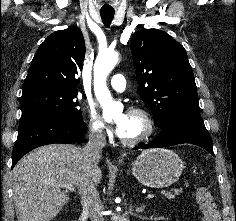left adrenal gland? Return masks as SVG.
<instances>
[{
  "mask_svg": "<svg viewBox=\"0 0 236 221\" xmlns=\"http://www.w3.org/2000/svg\"><path fill=\"white\" fill-rule=\"evenodd\" d=\"M131 207H132V205H131ZM144 208H145V206L142 205V206L136 208V212H138V213L143 212V211H144Z\"/></svg>",
  "mask_w": 236,
  "mask_h": 221,
  "instance_id": "left-adrenal-gland-1",
  "label": "left adrenal gland"
}]
</instances>
